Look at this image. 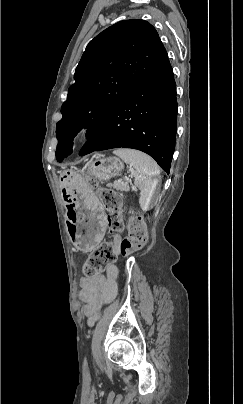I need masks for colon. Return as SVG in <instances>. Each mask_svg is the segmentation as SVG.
Segmentation results:
<instances>
[{"label":"colon","instance_id":"colon-1","mask_svg":"<svg viewBox=\"0 0 243 404\" xmlns=\"http://www.w3.org/2000/svg\"><path fill=\"white\" fill-rule=\"evenodd\" d=\"M93 183V182H92ZM97 195L107 212V223L112 232L121 233L124 223L120 211V199L110 188L98 187ZM147 241V229L140 218H135L129 225L127 235L117 246L113 242H104L92 251L84 265L83 273L93 278L107 265L113 263L120 252L127 256L140 250Z\"/></svg>","mask_w":243,"mask_h":404}]
</instances>
